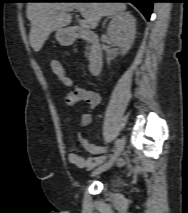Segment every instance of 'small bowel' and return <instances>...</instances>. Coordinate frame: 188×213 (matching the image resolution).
Listing matches in <instances>:
<instances>
[{
  "instance_id": "c3829d8e",
  "label": "small bowel",
  "mask_w": 188,
  "mask_h": 213,
  "mask_svg": "<svg viewBox=\"0 0 188 213\" xmlns=\"http://www.w3.org/2000/svg\"><path fill=\"white\" fill-rule=\"evenodd\" d=\"M65 105L68 109H74L81 103H86L91 109H95L101 103V96L98 92L84 87H76L70 90L64 98ZM92 116L89 112L80 115V125L86 127L91 123ZM79 150H85L90 155L82 157L78 154ZM108 147L104 145H95L91 143L83 131L78 132L77 142L71 147L68 155V161L78 168H93L95 164L102 160L105 161V154ZM121 164V161H119Z\"/></svg>"
}]
</instances>
